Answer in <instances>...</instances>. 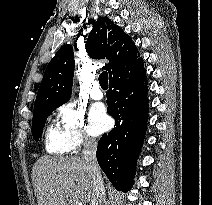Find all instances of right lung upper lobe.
<instances>
[{
	"mask_svg": "<svg viewBox=\"0 0 212 205\" xmlns=\"http://www.w3.org/2000/svg\"><path fill=\"white\" fill-rule=\"evenodd\" d=\"M86 50L91 58L109 60L103 68L109 77L140 57L137 47L124 31L108 17H99L89 33ZM74 55L71 45L62 46L47 65L34 109L44 105H62L71 97Z\"/></svg>",
	"mask_w": 212,
	"mask_h": 205,
	"instance_id": "obj_1",
	"label": "right lung upper lobe"
}]
</instances>
